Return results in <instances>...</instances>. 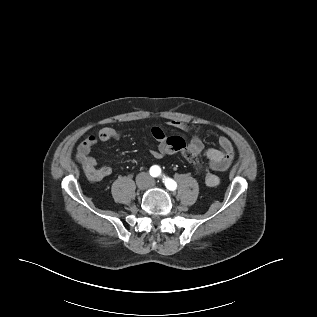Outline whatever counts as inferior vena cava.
Here are the masks:
<instances>
[{
    "label": "inferior vena cava",
    "instance_id": "obj_1",
    "mask_svg": "<svg viewBox=\"0 0 317 317\" xmlns=\"http://www.w3.org/2000/svg\"><path fill=\"white\" fill-rule=\"evenodd\" d=\"M141 175H143V176L147 177V174H146V173H144V172H142V174H141Z\"/></svg>",
    "mask_w": 317,
    "mask_h": 317
}]
</instances>
